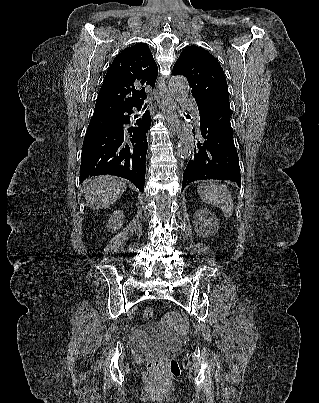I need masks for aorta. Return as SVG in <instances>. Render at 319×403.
<instances>
[{"label": "aorta", "mask_w": 319, "mask_h": 403, "mask_svg": "<svg viewBox=\"0 0 319 403\" xmlns=\"http://www.w3.org/2000/svg\"><path fill=\"white\" fill-rule=\"evenodd\" d=\"M169 91L177 102H184L189 93L187 80L182 76L171 77L169 80ZM178 139V156L181 158L189 157L194 148V136L192 130L188 126H182Z\"/></svg>", "instance_id": "aorta-1"}]
</instances>
